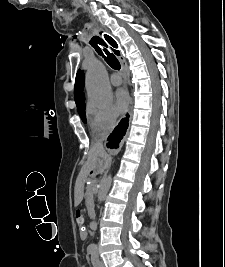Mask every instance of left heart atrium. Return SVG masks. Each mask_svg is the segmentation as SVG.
<instances>
[{
  "instance_id": "39dd6f15",
  "label": "left heart atrium",
  "mask_w": 225,
  "mask_h": 267,
  "mask_svg": "<svg viewBox=\"0 0 225 267\" xmlns=\"http://www.w3.org/2000/svg\"><path fill=\"white\" fill-rule=\"evenodd\" d=\"M114 103L118 112H124L129 104L128 93L123 89L117 90L114 95Z\"/></svg>"
}]
</instances>
